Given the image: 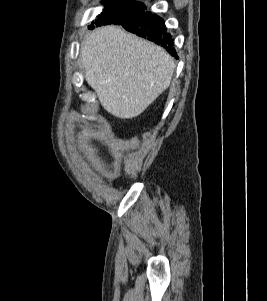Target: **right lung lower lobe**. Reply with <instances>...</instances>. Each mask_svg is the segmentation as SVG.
<instances>
[{
  "label": "right lung lower lobe",
  "mask_w": 267,
  "mask_h": 301,
  "mask_svg": "<svg viewBox=\"0 0 267 301\" xmlns=\"http://www.w3.org/2000/svg\"><path fill=\"white\" fill-rule=\"evenodd\" d=\"M123 26L126 30L137 34L141 37H147L157 44L163 46L172 56L177 57L173 47V39L161 17L152 14L151 12H139L114 23Z\"/></svg>",
  "instance_id": "1"
}]
</instances>
